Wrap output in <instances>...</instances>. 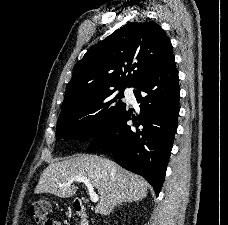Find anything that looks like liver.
<instances>
[{"label":"liver","mask_w":228,"mask_h":225,"mask_svg":"<svg viewBox=\"0 0 228 225\" xmlns=\"http://www.w3.org/2000/svg\"><path fill=\"white\" fill-rule=\"evenodd\" d=\"M73 177H87L97 189L99 203L95 211L100 215H110L117 203L142 201L148 195L147 181L97 155H78L69 161L51 163L44 169L34 193H50L61 199L74 197L78 187L73 185Z\"/></svg>","instance_id":"6515ba94"}]
</instances>
